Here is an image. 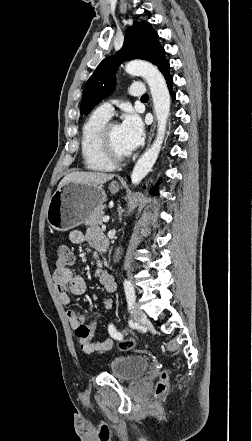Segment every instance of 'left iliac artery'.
<instances>
[{
	"mask_svg": "<svg viewBox=\"0 0 252 441\" xmlns=\"http://www.w3.org/2000/svg\"><path fill=\"white\" fill-rule=\"evenodd\" d=\"M124 289L128 302V307L129 309H131L132 305L135 302L136 297H135L134 288L130 281L128 280L124 281ZM107 327L110 335H112L113 341L118 342L124 340L125 333L123 331H120L119 328L116 327V325H114L112 322H109L107 324Z\"/></svg>",
	"mask_w": 252,
	"mask_h": 441,
	"instance_id": "44dca946",
	"label": "left iliac artery"
}]
</instances>
